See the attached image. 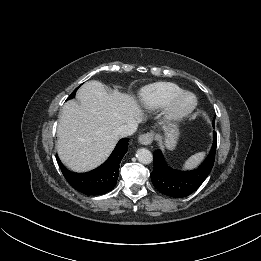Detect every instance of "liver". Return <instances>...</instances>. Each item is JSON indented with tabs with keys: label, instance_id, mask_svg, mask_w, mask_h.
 Instances as JSON below:
<instances>
[{
	"label": "liver",
	"instance_id": "6515ba94",
	"mask_svg": "<svg viewBox=\"0 0 261 261\" xmlns=\"http://www.w3.org/2000/svg\"><path fill=\"white\" fill-rule=\"evenodd\" d=\"M76 98L62 108L57 128V151L69 169L86 172L102 164L112 152L119 128L129 121L142 122L144 113L128 94L107 93L96 80L84 83Z\"/></svg>",
	"mask_w": 261,
	"mask_h": 261
}]
</instances>
